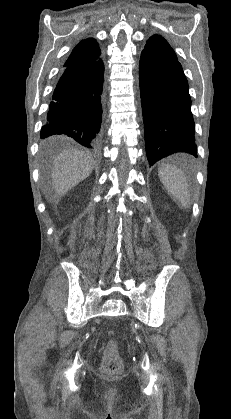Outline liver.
Here are the masks:
<instances>
[{
  "mask_svg": "<svg viewBox=\"0 0 231 419\" xmlns=\"http://www.w3.org/2000/svg\"><path fill=\"white\" fill-rule=\"evenodd\" d=\"M94 167L92 157L78 150L63 151L54 161L52 170L53 189L61 198L74 186L87 178Z\"/></svg>",
  "mask_w": 231,
  "mask_h": 419,
  "instance_id": "6515ba94",
  "label": "liver"
}]
</instances>
